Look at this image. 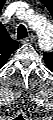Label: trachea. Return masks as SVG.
I'll use <instances>...</instances> for the list:
<instances>
[{
    "instance_id": "3493384b",
    "label": "trachea",
    "mask_w": 53,
    "mask_h": 120,
    "mask_svg": "<svg viewBox=\"0 0 53 120\" xmlns=\"http://www.w3.org/2000/svg\"><path fill=\"white\" fill-rule=\"evenodd\" d=\"M28 37L27 29L24 25H19L17 28V39H23Z\"/></svg>"
}]
</instances>
